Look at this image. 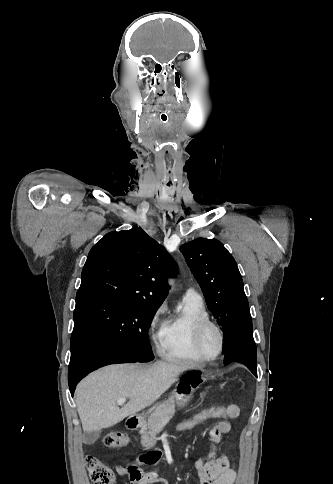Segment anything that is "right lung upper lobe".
Listing matches in <instances>:
<instances>
[{
	"mask_svg": "<svg viewBox=\"0 0 333 484\" xmlns=\"http://www.w3.org/2000/svg\"><path fill=\"white\" fill-rule=\"evenodd\" d=\"M171 264L164 247L141 228L107 233L88 254L76 304L101 299L159 308L168 294Z\"/></svg>",
	"mask_w": 333,
	"mask_h": 484,
	"instance_id": "cb5924a9",
	"label": "right lung upper lobe"
}]
</instances>
